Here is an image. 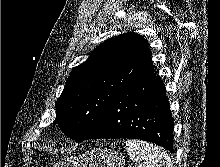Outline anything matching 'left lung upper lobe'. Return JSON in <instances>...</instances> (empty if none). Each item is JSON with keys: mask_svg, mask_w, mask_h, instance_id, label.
<instances>
[{"mask_svg": "<svg viewBox=\"0 0 220 167\" xmlns=\"http://www.w3.org/2000/svg\"><path fill=\"white\" fill-rule=\"evenodd\" d=\"M154 70L147 41L124 33L108 39L75 67L56 102L60 129L76 142L88 137L114 97Z\"/></svg>", "mask_w": 220, "mask_h": 167, "instance_id": "1", "label": "left lung upper lobe"}]
</instances>
